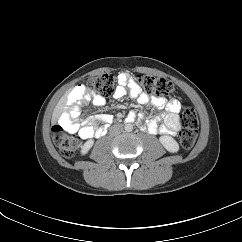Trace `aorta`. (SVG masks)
I'll return each mask as SVG.
<instances>
[{"mask_svg": "<svg viewBox=\"0 0 242 242\" xmlns=\"http://www.w3.org/2000/svg\"><path fill=\"white\" fill-rule=\"evenodd\" d=\"M124 128H125V131L131 132L133 129V126L131 124H126Z\"/></svg>", "mask_w": 242, "mask_h": 242, "instance_id": "obj_1", "label": "aorta"}]
</instances>
